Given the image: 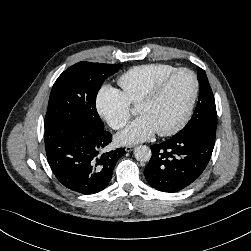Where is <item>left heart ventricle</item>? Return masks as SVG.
<instances>
[{
    "label": "left heart ventricle",
    "mask_w": 251,
    "mask_h": 251,
    "mask_svg": "<svg viewBox=\"0 0 251 251\" xmlns=\"http://www.w3.org/2000/svg\"><path fill=\"white\" fill-rule=\"evenodd\" d=\"M193 89L192 77L187 73L178 74L154 102L138 106L137 113L140 116H146L156 131L170 129L184 115Z\"/></svg>",
    "instance_id": "left-heart-ventricle-1"
}]
</instances>
